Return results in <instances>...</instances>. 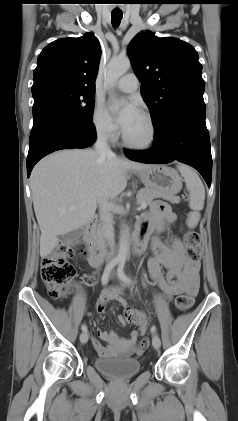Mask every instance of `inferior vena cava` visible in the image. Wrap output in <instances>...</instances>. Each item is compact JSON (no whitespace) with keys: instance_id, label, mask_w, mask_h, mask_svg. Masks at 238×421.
Returning <instances> with one entry per match:
<instances>
[{"instance_id":"obj_1","label":"inferior vena cava","mask_w":238,"mask_h":421,"mask_svg":"<svg viewBox=\"0 0 238 421\" xmlns=\"http://www.w3.org/2000/svg\"><path fill=\"white\" fill-rule=\"evenodd\" d=\"M108 135L106 129H100L97 132V139L94 144L95 151L101 156H113V152L111 151L108 143H107ZM99 212L100 218L102 220V233L108 241L110 248H113V241H114V229H113V221L112 216L109 212V204L107 200L99 201Z\"/></svg>"}]
</instances>
